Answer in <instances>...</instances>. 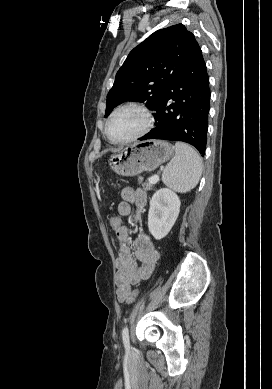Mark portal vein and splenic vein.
I'll return each mask as SVG.
<instances>
[{"label":"portal vein and splenic vein","mask_w":272,"mask_h":389,"mask_svg":"<svg viewBox=\"0 0 272 389\" xmlns=\"http://www.w3.org/2000/svg\"><path fill=\"white\" fill-rule=\"evenodd\" d=\"M159 181V176L158 175H154L150 178V182L155 184Z\"/></svg>","instance_id":"1"}]
</instances>
